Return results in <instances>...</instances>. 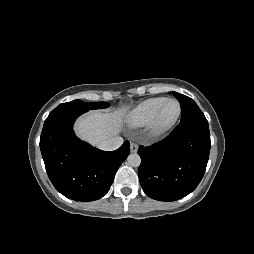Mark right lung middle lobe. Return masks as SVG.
<instances>
[{
	"label": "right lung middle lobe",
	"instance_id": "right-lung-middle-lobe-1",
	"mask_svg": "<svg viewBox=\"0 0 254 254\" xmlns=\"http://www.w3.org/2000/svg\"><path fill=\"white\" fill-rule=\"evenodd\" d=\"M59 106H71L76 108H82L85 110H92V109L106 108L109 106V103L107 102L86 103L77 99L71 102L60 104Z\"/></svg>",
	"mask_w": 254,
	"mask_h": 254
}]
</instances>
